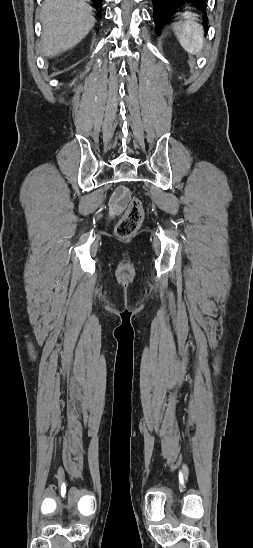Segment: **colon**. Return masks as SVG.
<instances>
[{
    "label": "colon",
    "instance_id": "obj_1",
    "mask_svg": "<svg viewBox=\"0 0 253 548\" xmlns=\"http://www.w3.org/2000/svg\"><path fill=\"white\" fill-rule=\"evenodd\" d=\"M143 205L139 198L133 197L115 227V233L122 239L131 237L140 227L143 220Z\"/></svg>",
    "mask_w": 253,
    "mask_h": 548
}]
</instances>
